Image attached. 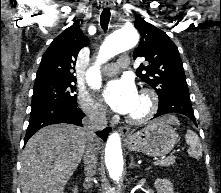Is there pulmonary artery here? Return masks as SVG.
Listing matches in <instances>:
<instances>
[{"mask_svg":"<svg viewBox=\"0 0 221 193\" xmlns=\"http://www.w3.org/2000/svg\"><path fill=\"white\" fill-rule=\"evenodd\" d=\"M129 58L127 56H122L119 58L116 64H108L103 69V74L105 75H114L120 68H124L129 65Z\"/></svg>","mask_w":221,"mask_h":193,"instance_id":"obj_1","label":"pulmonary artery"}]
</instances>
